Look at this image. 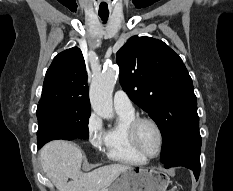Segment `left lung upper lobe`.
Listing matches in <instances>:
<instances>
[{"label": "left lung upper lobe", "mask_w": 233, "mask_h": 191, "mask_svg": "<svg viewBox=\"0 0 233 191\" xmlns=\"http://www.w3.org/2000/svg\"><path fill=\"white\" fill-rule=\"evenodd\" d=\"M116 60L123 90L162 132L163 164L189 146H201L197 99L179 55L161 40L134 36Z\"/></svg>", "instance_id": "1"}]
</instances>
